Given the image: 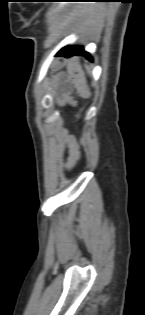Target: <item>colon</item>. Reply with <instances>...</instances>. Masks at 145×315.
<instances>
[{
  "label": "colon",
  "mask_w": 145,
  "mask_h": 315,
  "mask_svg": "<svg viewBox=\"0 0 145 315\" xmlns=\"http://www.w3.org/2000/svg\"><path fill=\"white\" fill-rule=\"evenodd\" d=\"M69 75L72 79L78 78L79 70H78L77 64L75 62H72L69 66ZM77 87L82 93H84V87H83L81 82L77 83Z\"/></svg>",
  "instance_id": "1"
}]
</instances>
